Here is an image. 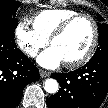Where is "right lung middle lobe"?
Masks as SVG:
<instances>
[{
  "mask_svg": "<svg viewBox=\"0 0 108 108\" xmlns=\"http://www.w3.org/2000/svg\"><path fill=\"white\" fill-rule=\"evenodd\" d=\"M20 2L13 0L0 1V32L11 38H14L17 18L16 11Z\"/></svg>",
  "mask_w": 108,
  "mask_h": 108,
  "instance_id": "right-lung-middle-lobe-1",
  "label": "right lung middle lobe"
}]
</instances>
